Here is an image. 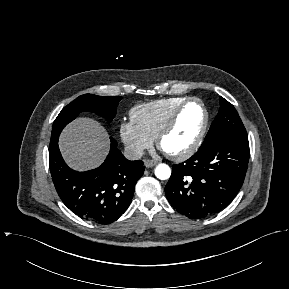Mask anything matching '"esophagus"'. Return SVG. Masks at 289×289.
I'll use <instances>...</instances> for the list:
<instances>
[{
  "label": "esophagus",
  "instance_id": "esophagus-1",
  "mask_svg": "<svg viewBox=\"0 0 289 289\" xmlns=\"http://www.w3.org/2000/svg\"><path fill=\"white\" fill-rule=\"evenodd\" d=\"M144 164L147 168H150V167L157 165L158 162L154 160H145Z\"/></svg>",
  "mask_w": 289,
  "mask_h": 289
}]
</instances>
